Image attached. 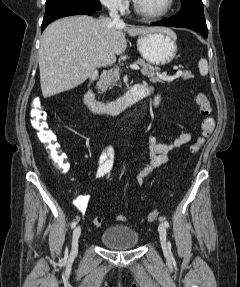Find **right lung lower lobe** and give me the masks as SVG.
Listing matches in <instances>:
<instances>
[{
	"instance_id": "right-lung-lower-lobe-1",
	"label": "right lung lower lobe",
	"mask_w": 240,
	"mask_h": 287,
	"mask_svg": "<svg viewBox=\"0 0 240 287\" xmlns=\"http://www.w3.org/2000/svg\"><path fill=\"white\" fill-rule=\"evenodd\" d=\"M100 9L99 0H46L41 31L56 19L79 14L91 15Z\"/></svg>"
}]
</instances>
